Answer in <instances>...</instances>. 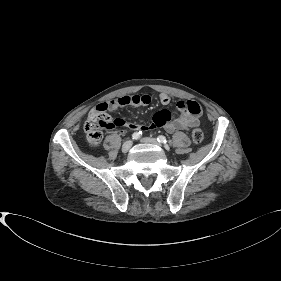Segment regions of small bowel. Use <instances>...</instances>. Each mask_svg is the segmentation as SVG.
<instances>
[{"mask_svg": "<svg viewBox=\"0 0 281 281\" xmlns=\"http://www.w3.org/2000/svg\"><path fill=\"white\" fill-rule=\"evenodd\" d=\"M151 96L149 94L140 95H126L108 102H102L97 105L98 109L104 110H116L120 107H141L147 106L151 103ZM159 101L162 105L168 106L170 103V97L162 93L159 95ZM178 113L173 115L169 110L162 109L156 112L152 121L149 124H137L126 121L122 118H117L116 127H124L128 130L135 132H147L157 128H164L167 132H173L175 130H189L196 126L199 122V116L201 108L195 101H179L176 104Z\"/></svg>", "mask_w": 281, "mask_h": 281, "instance_id": "obj_1", "label": "small bowel"}]
</instances>
